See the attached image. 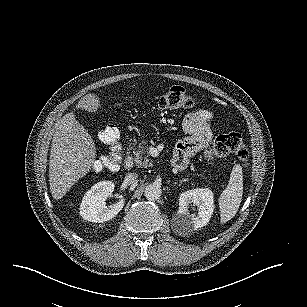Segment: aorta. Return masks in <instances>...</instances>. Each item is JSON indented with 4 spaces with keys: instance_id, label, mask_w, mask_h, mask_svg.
I'll return each mask as SVG.
<instances>
[{
    "instance_id": "obj_1",
    "label": "aorta",
    "mask_w": 307,
    "mask_h": 307,
    "mask_svg": "<svg viewBox=\"0 0 307 307\" xmlns=\"http://www.w3.org/2000/svg\"><path fill=\"white\" fill-rule=\"evenodd\" d=\"M161 195H162L161 186L155 183L147 185L144 190V196L149 201L157 200L161 197Z\"/></svg>"
}]
</instances>
